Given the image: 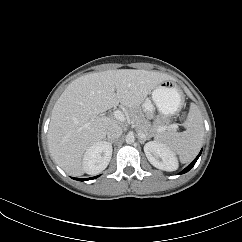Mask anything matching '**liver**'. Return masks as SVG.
<instances>
[{
  "instance_id": "6515ba94",
  "label": "liver",
  "mask_w": 242,
  "mask_h": 242,
  "mask_svg": "<svg viewBox=\"0 0 242 242\" xmlns=\"http://www.w3.org/2000/svg\"><path fill=\"white\" fill-rule=\"evenodd\" d=\"M172 79L156 71L119 69L74 80L51 114L48 146L54 161L70 175H82L85 151L105 139L109 126L120 124L102 113L119 103L132 113L138 112L153 89Z\"/></svg>"
}]
</instances>
